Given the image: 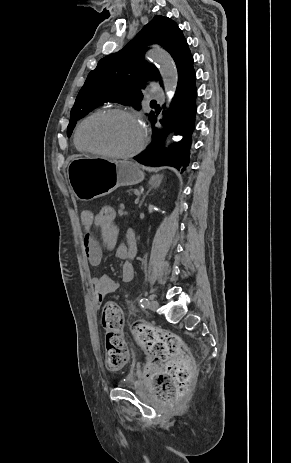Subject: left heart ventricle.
<instances>
[{
    "mask_svg": "<svg viewBox=\"0 0 291 463\" xmlns=\"http://www.w3.org/2000/svg\"><path fill=\"white\" fill-rule=\"evenodd\" d=\"M140 138L141 129L137 123L122 115L93 118L82 129L86 144L112 152L131 151Z\"/></svg>",
    "mask_w": 291,
    "mask_h": 463,
    "instance_id": "1",
    "label": "left heart ventricle"
}]
</instances>
